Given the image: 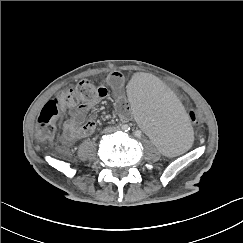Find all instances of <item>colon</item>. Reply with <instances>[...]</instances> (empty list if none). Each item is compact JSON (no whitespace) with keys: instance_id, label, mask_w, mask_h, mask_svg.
Here are the masks:
<instances>
[{"instance_id":"obj_1","label":"colon","mask_w":243,"mask_h":243,"mask_svg":"<svg viewBox=\"0 0 243 243\" xmlns=\"http://www.w3.org/2000/svg\"><path fill=\"white\" fill-rule=\"evenodd\" d=\"M98 86L83 80L71 88L59 92L54 98L49 100L41 109L38 123L36 126V135L39 139L46 141L54 137L56 132V119L62 110L82 107L98 97L96 88ZM192 127L197 128L201 123L199 112L187 105L184 108Z\"/></svg>"}]
</instances>
